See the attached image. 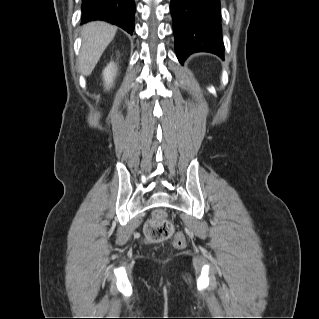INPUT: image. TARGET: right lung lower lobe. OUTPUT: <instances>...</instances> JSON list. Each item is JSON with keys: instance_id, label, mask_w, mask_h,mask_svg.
<instances>
[{"instance_id": "98d812e1", "label": "right lung lower lobe", "mask_w": 319, "mask_h": 319, "mask_svg": "<svg viewBox=\"0 0 319 319\" xmlns=\"http://www.w3.org/2000/svg\"><path fill=\"white\" fill-rule=\"evenodd\" d=\"M81 9L82 24L102 20L133 34L135 14L133 0H82Z\"/></svg>"}]
</instances>
